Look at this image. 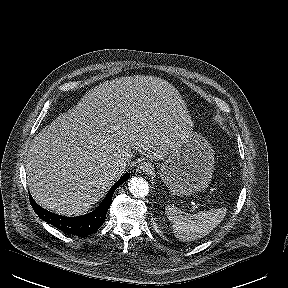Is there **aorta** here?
Masks as SVG:
<instances>
[{"instance_id":"762f6f07","label":"aorta","mask_w":288,"mask_h":288,"mask_svg":"<svg viewBox=\"0 0 288 288\" xmlns=\"http://www.w3.org/2000/svg\"><path fill=\"white\" fill-rule=\"evenodd\" d=\"M128 189L134 197L143 198L149 193V185L142 177H133L128 182Z\"/></svg>"}]
</instances>
